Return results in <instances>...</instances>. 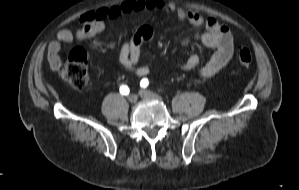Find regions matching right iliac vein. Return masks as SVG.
I'll return each mask as SVG.
<instances>
[{"instance_id": "obj_1", "label": "right iliac vein", "mask_w": 299, "mask_h": 190, "mask_svg": "<svg viewBox=\"0 0 299 190\" xmlns=\"http://www.w3.org/2000/svg\"><path fill=\"white\" fill-rule=\"evenodd\" d=\"M128 101H129L130 103H136V101H137V96H136L135 94H130V95L128 96Z\"/></svg>"}]
</instances>
